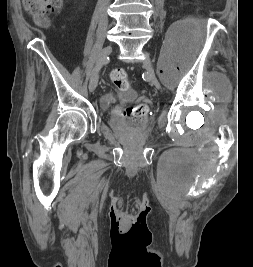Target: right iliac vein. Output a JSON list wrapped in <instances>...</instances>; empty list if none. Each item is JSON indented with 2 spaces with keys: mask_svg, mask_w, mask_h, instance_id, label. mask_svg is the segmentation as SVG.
Segmentation results:
<instances>
[{
  "mask_svg": "<svg viewBox=\"0 0 253 267\" xmlns=\"http://www.w3.org/2000/svg\"><path fill=\"white\" fill-rule=\"evenodd\" d=\"M112 53V47L111 46H107L105 48H103V50L101 51L98 61L96 63V65H100L103 64L104 61L107 59V57ZM98 72H99V67H97L90 79V84H89V89L90 91H94L97 87L98 84Z\"/></svg>",
  "mask_w": 253,
  "mask_h": 267,
  "instance_id": "1",
  "label": "right iliac vein"
}]
</instances>
